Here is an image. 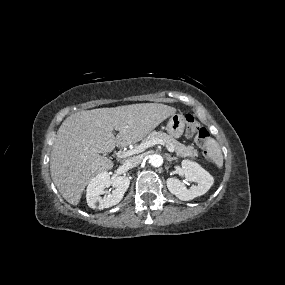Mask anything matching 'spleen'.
Instances as JSON below:
<instances>
[{"label":"spleen","mask_w":285,"mask_h":285,"mask_svg":"<svg viewBox=\"0 0 285 285\" xmlns=\"http://www.w3.org/2000/svg\"><path fill=\"white\" fill-rule=\"evenodd\" d=\"M207 149L209 157L213 160L218 168H221L223 165V155L218 142L214 139H209Z\"/></svg>","instance_id":"3e777b00"}]
</instances>
